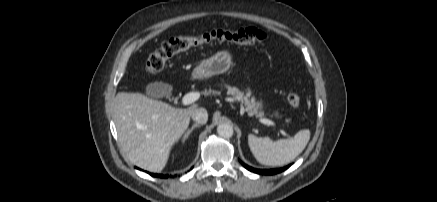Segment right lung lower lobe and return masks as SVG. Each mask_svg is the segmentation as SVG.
<instances>
[{
	"label": "right lung lower lobe",
	"mask_w": 437,
	"mask_h": 202,
	"mask_svg": "<svg viewBox=\"0 0 437 202\" xmlns=\"http://www.w3.org/2000/svg\"><path fill=\"white\" fill-rule=\"evenodd\" d=\"M152 176H154V177H161V178H163V177H168L167 175L166 176H164V175H162V174H151Z\"/></svg>",
	"instance_id": "right-lung-lower-lobe-1"
}]
</instances>
